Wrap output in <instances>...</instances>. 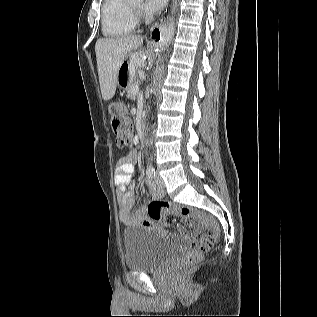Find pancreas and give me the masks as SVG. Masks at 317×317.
Listing matches in <instances>:
<instances>
[{"instance_id":"obj_1","label":"pancreas","mask_w":317,"mask_h":317,"mask_svg":"<svg viewBox=\"0 0 317 317\" xmlns=\"http://www.w3.org/2000/svg\"><path fill=\"white\" fill-rule=\"evenodd\" d=\"M135 88H139V81L136 80L135 76L132 77V79L129 82L128 87L126 88V93L128 97H131L133 95V92L135 91Z\"/></svg>"}]
</instances>
